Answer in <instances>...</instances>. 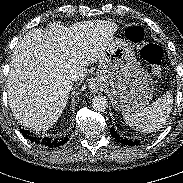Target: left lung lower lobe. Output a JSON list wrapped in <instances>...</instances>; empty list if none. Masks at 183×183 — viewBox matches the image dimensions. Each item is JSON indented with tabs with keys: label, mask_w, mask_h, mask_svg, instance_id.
<instances>
[{
	"label": "left lung lower lobe",
	"mask_w": 183,
	"mask_h": 183,
	"mask_svg": "<svg viewBox=\"0 0 183 183\" xmlns=\"http://www.w3.org/2000/svg\"><path fill=\"white\" fill-rule=\"evenodd\" d=\"M111 135L120 143L124 144V145H128V146H133V145H137L138 143H140V141L138 140H129L127 138H122L120 135H118L115 130L113 128H111Z\"/></svg>",
	"instance_id": "left-lung-lower-lobe-1"
}]
</instances>
